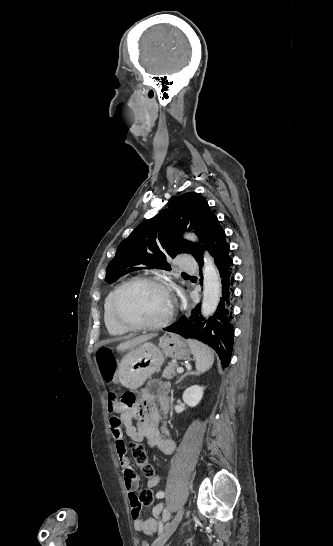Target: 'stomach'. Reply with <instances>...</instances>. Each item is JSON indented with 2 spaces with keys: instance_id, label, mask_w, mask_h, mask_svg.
<instances>
[{
  "instance_id": "obj_1",
  "label": "stomach",
  "mask_w": 333,
  "mask_h": 546,
  "mask_svg": "<svg viewBox=\"0 0 333 546\" xmlns=\"http://www.w3.org/2000/svg\"><path fill=\"white\" fill-rule=\"evenodd\" d=\"M191 353L189 345L178 335H164L159 346L151 342L130 350L118 363L119 380L126 388L135 390L160 370L164 356L174 359L187 358Z\"/></svg>"
}]
</instances>
